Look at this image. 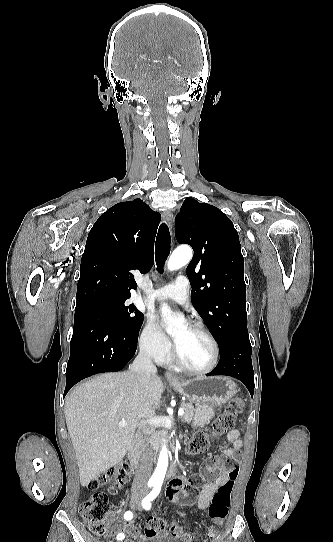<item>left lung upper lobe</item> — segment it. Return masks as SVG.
<instances>
[{"mask_svg":"<svg viewBox=\"0 0 333 542\" xmlns=\"http://www.w3.org/2000/svg\"><path fill=\"white\" fill-rule=\"evenodd\" d=\"M179 243L192 246L186 269L191 301L222 352L236 334H248L244 259L232 221L218 208L186 198L175 219Z\"/></svg>","mask_w":333,"mask_h":542,"instance_id":"obj_1","label":"left lung upper lobe"}]
</instances>
